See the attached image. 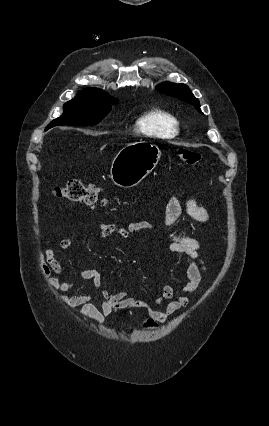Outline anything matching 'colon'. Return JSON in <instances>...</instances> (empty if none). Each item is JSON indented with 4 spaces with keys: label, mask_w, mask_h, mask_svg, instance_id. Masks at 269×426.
Here are the masks:
<instances>
[{
    "label": "colon",
    "mask_w": 269,
    "mask_h": 426,
    "mask_svg": "<svg viewBox=\"0 0 269 426\" xmlns=\"http://www.w3.org/2000/svg\"><path fill=\"white\" fill-rule=\"evenodd\" d=\"M177 154L185 165L195 166L200 160V154L195 150L179 149ZM55 194L60 199L84 203L88 206H95L99 201L98 187L93 183H83L77 179L69 180L64 185L57 187Z\"/></svg>",
    "instance_id": "5ec220e1"
}]
</instances>
